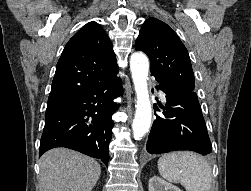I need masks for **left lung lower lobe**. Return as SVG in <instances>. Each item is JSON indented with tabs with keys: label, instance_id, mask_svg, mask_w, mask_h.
Masks as SVG:
<instances>
[{
	"label": "left lung lower lobe",
	"instance_id": "left-lung-lower-lobe-1",
	"mask_svg": "<svg viewBox=\"0 0 251 191\" xmlns=\"http://www.w3.org/2000/svg\"><path fill=\"white\" fill-rule=\"evenodd\" d=\"M166 93L164 117L156 114L147 141V152L161 154L191 150L202 155L212 151L206 124L194 91L173 90L159 83L156 87ZM155 110H159L154 105Z\"/></svg>",
	"mask_w": 251,
	"mask_h": 191
}]
</instances>
